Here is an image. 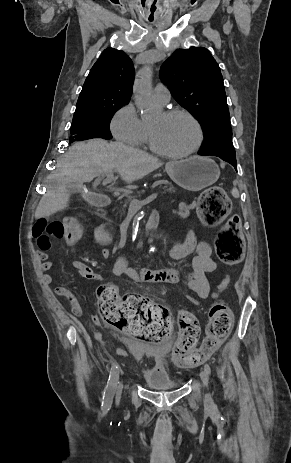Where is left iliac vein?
Wrapping results in <instances>:
<instances>
[{
    "instance_id": "1",
    "label": "left iliac vein",
    "mask_w": 291,
    "mask_h": 463,
    "mask_svg": "<svg viewBox=\"0 0 291 463\" xmlns=\"http://www.w3.org/2000/svg\"><path fill=\"white\" fill-rule=\"evenodd\" d=\"M200 378H201V381H202L203 385L208 389V387H209V374L207 373V371L205 369L201 370ZM205 402H206L207 405L211 404L212 399H211L210 393H207L205 395Z\"/></svg>"
}]
</instances>
